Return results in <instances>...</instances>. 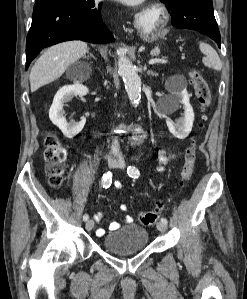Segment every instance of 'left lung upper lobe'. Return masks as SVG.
I'll use <instances>...</instances> for the list:
<instances>
[{
    "label": "left lung upper lobe",
    "mask_w": 247,
    "mask_h": 299,
    "mask_svg": "<svg viewBox=\"0 0 247 299\" xmlns=\"http://www.w3.org/2000/svg\"><path fill=\"white\" fill-rule=\"evenodd\" d=\"M167 1H169V0H161V2H163V3L167 2Z\"/></svg>",
    "instance_id": "obj_1"
}]
</instances>
